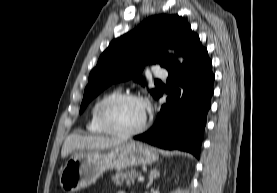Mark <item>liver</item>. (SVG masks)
Listing matches in <instances>:
<instances>
[{"label": "liver", "mask_w": 277, "mask_h": 193, "mask_svg": "<svg viewBox=\"0 0 277 193\" xmlns=\"http://www.w3.org/2000/svg\"><path fill=\"white\" fill-rule=\"evenodd\" d=\"M124 142L120 138L104 136L69 135L62 146L61 157L65 158L75 150H105L120 145Z\"/></svg>", "instance_id": "1"}]
</instances>
